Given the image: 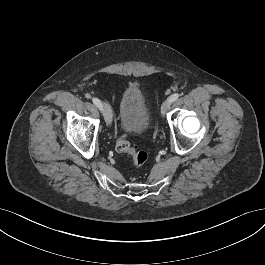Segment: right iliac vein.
<instances>
[{
    "instance_id": "obj_1",
    "label": "right iliac vein",
    "mask_w": 265,
    "mask_h": 265,
    "mask_svg": "<svg viewBox=\"0 0 265 265\" xmlns=\"http://www.w3.org/2000/svg\"><path fill=\"white\" fill-rule=\"evenodd\" d=\"M102 111L107 125L112 123V111L107 103H102Z\"/></svg>"
}]
</instances>
